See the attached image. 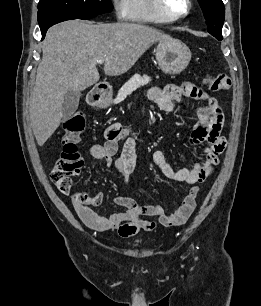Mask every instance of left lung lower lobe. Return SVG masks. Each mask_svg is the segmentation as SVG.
I'll return each mask as SVG.
<instances>
[{"label": "left lung lower lobe", "instance_id": "0a47b994", "mask_svg": "<svg viewBox=\"0 0 261 306\" xmlns=\"http://www.w3.org/2000/svg\"><path fill=\"white\" fill-rule=\"evenodd\" d=\"M216 37L218 40H222V36H214Z\"/></svg>", "mask_w": 261, "mask_h": 306}]
</instances>
